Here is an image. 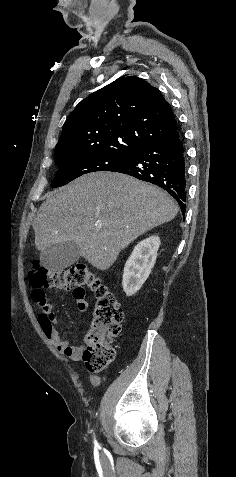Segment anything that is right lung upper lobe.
<instances>
[{
  "mask_svg": "<svg viewBox=\"0 0 236 477\" xmlns=\"http://www.w3.org/2000/svg\"><path fill=\"white\" fill-rule=\"evenodd\" d=\"M177 128L157 88L135 76L122 77L77 105L64 123L55 159L85 154L130 157Z\"/></svg>",
  "mask_w": 236,
  "mask_h": 477,
  "instance_id": "1",
  "label": "right lung upper lobe"
}]
</instances>
